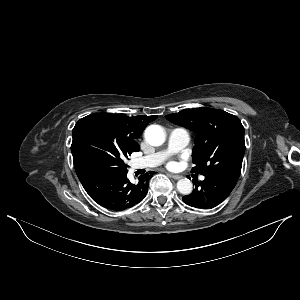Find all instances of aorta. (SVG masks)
<instances>
[{"mask_svg":"<svg viewBox=\"0 0 300 300\" xmlns=\"http://www.w3.org/2000/svg\"><path fill=\"white\" fill-rule=\"evenodd\" d=\"M166 134L159 125H150L145 130V139L152 146H160L164 143ZM193 184L189 179H181L177 182V190L183 195L192 192Z\"/></svg>","mask_w":300,"mask_h":300,"instance_id":"762f6f07","label":"aorta"}]
</instances>
